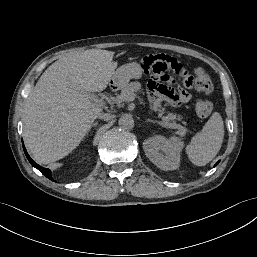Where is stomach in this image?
<instances>
[{"mask_svg": "<svg viewBox=\"0 0 257 257\" xmlns=\"http://www.w3.org/2000/svg\"><path fill=\"white\" fill-rule=\"evenodd\" d=\"M143 70L138 63H128L120 66L114 73L112 81L117 86H125L131 79H139L142 77Z\"/></svg>", "mask_w": 257, "mask_h": 257, "instance_id": "1", "label": "stomach"}]
</instances>
